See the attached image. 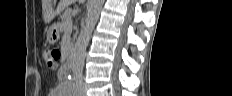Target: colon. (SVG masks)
Returning <instances> with one entry per match:
<instances>
[{"mask_svg": "<svg viewBox=\"0 0 232 96\" xmlns=\"http://www.w3.org/2000/svg\"><path fill=\"white\" fill-rule=\"evenodd\" d=\"M45 56L48 64L54 65L57 64L60 59V52L57 49H49L46 51Z\"/></svg>", "mask_w": 232, "mask_h": 96, "instance_id": "1", "label": "colon"}]
</instances>
